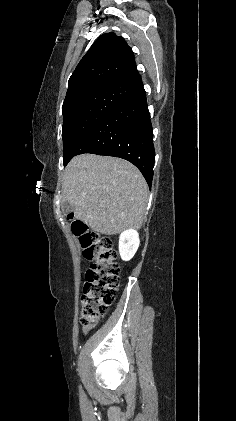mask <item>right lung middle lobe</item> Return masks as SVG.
I'll list each match as a JSON object with an SVG mask.
<instances>
[{
  "label": "right lung middle lobe",
  "instance_id": "1",
  "mask_svg": "<svg viewBox=\"0 0 236 421\" xmlns=\"http://www.w3.org/2000/svg\"><path fill=\"white\" fill-rule=\"evenodd\" d=\"M128 92L119 85L90 89L63 103L64 166L72 159L82 137L100 122Z\"/></svg>",
  "mask_w": 236,
  "mask_h": 421
}]
</instances>
